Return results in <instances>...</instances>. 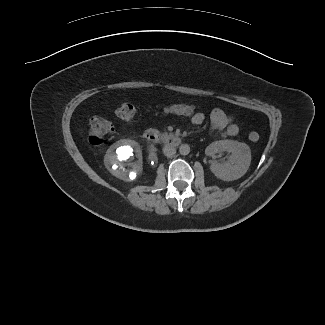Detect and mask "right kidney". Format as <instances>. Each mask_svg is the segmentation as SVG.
Segmentation results:
<instances>
[{
	"mask_svg": "<svg viewBox=\"0 0 325 325\" xmlns=\"http://www.w3.org/2000/svg\"><path fill=\"white\" fill-rule=\"evenodd\" d=\"M104 163L114 176L124 181H132L143 173L142 150L134 140L122 139L111 145Z\"/></svg>",
	"mask_w": 325,
	"mask_h": 325,
	"instance_id": "obj_1",
	"label": "right kidney"
}]
</instances>
